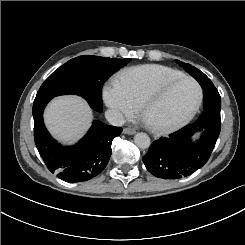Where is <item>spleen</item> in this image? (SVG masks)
Masks as SVG:
<instances>
[{
	"label": "spleen",
	"mask_w": 245,
	"mask_h": 245,
	"mask_svg": "<svg viewBox=\"0 0 245 245\" xmlns=\"http://www.w3.org/2000/svg\"><path fill=\"white\" fill-rule=\"evenodd\" d=\"M199 135H200V133H199V132H198V133H196V134H194V135H193V139L198 138V137H199Z\"/></svg>",
	"instance_id": "3e777b00"
}]
</instances>
